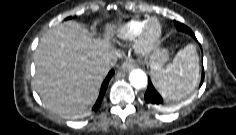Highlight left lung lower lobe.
<instances>
[{
    "instance_id": "left-lung-lower-lobe-1",
    "label": "left lung lower lobe",
    "mask_w": 236,
    "mask_h": 135,
    "mask_svg": "<svg viewBox=\"0 0 236 135\" xmlns=\"http://www.w3.org/2000/svg\"><path fill=\"white\" fill-rule=\"evenodd\" d=\"M175 24H176V27L179 31L188 33L193 38H195L194 33L187 26H185L184 24L179 23V22H175ZM203 79H204V70H202V79H201V82H200V86L203 83ZM144 99H145V102L147 104H149L151 106H154V107H163L165 105L162 97L155 90V88L153 87L151 81H149V83H148V87H147L146 93L144 95Z\"/></svg>"
}]
</instances>
